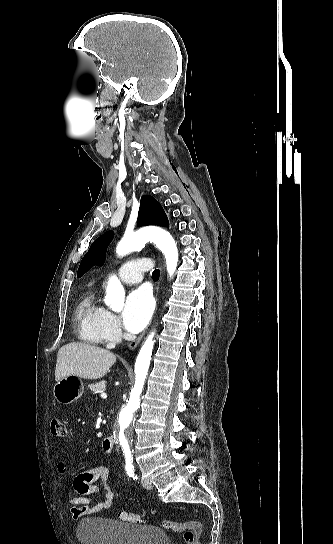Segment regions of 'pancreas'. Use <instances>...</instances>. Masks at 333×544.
I'll list each match as a JSON object with an SVG mask.
<instances>
[{
  "label": "pancreas",
  "instance_id": "cf45deb5",
  "mask_svg": "<svg viewBox=\"0 0 333 544\" xmlns=\"http://www.w3.org/2000/svg\"><path fill=\"white\" fill-rule=\"evenodd\" d=\"M89 389L93 392V394L103 393L106 390V383L101 381L96 384H92L89 386Z\"/></svg>",
  "mask_w": 333,
  "mask_h": 544
}]
</instances>
